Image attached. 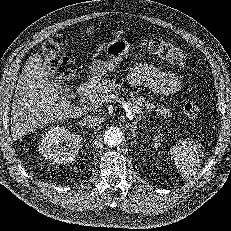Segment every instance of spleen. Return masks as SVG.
<instances>
[{
	"label": "spleen",
	"mask_w": 231,
	"mask_h": 231,
	"mask_svg": "<svg viewBox=\"0 0 231 231\" xmlns=\"http://www.w3.org/2000/svg\"><path fill=\"white\" fill-rule=\"evenodd\" d=\"M201 145L196 141L186 139L173 146L170 154L171 160L180 169L185 181L194 177L201 167Z\"/></svg>",
	"instance_id": "obj_1"
}]
</instances>
